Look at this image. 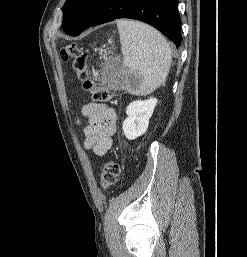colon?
<instances>
[{
	"mask_svg": "<svg viewBox=\"0 0 247 257\" xmlns=\"http://www.w3.org/2000/svg\"><path fill=\"white\" fill-rule=\"evenodd\" d=\"M60 58L63 61H72L73 69L75 70L81 86L84 90L91 92L94 101L102 103L108 102L112 98V93L109 89L97 85L90 78V73L87 64V55L81 47L76 43L64 45L60 49ZM120 175V165L115 158H110L104 164L100 184L103 189H108L113 186Z\"/></svg>",
	"mask_w": 247,
	"mask_h": 257,
	"instance_id": "1",
	"label": "colon"
}]
</instances>
